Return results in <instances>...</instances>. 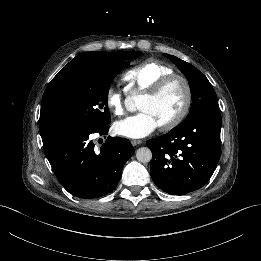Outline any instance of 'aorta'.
I'll return each instance as SVG.
<instances>
[{"label": "aorta", "instance_id": "obj_1", "mask_svg": "<svg viewBox=\"0 0 261 261\" xmlns=\"http://www.w3.org/2000/svg\"><path fill=\"white\" fill-rule=\"evenodd\" d=\"M141 100V95L135 96L137 103ZM136 159L140 163H148L152 159V152L148 147H141L136 151Z\"/></svg>", "mask_w": 261, "mask_h": 261}]
</instances>
